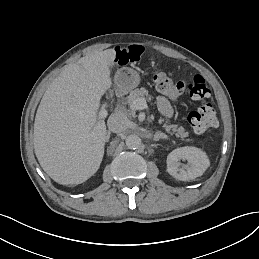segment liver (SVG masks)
I'll use <instances>...</instances> for the list:
<instances>
[{
    "mask_svg": "<svg viewBox=\"0 0 259 259\" xmlns=\"http://www.w3.org/2000/svg\"><path fill=\"white\" fill-rule=\"evenodd\" d=\"M114 49L95 50L64 67L45 91L34 122V150L42 169L57 183L79 185L99 170L107 136L97 117L111 89Z\"/></svg>",
    "mask_w": 259,
    "mask_h": 259,
    "instance_id": "obj_1",
    "label": "liver"
}]
</instances>
